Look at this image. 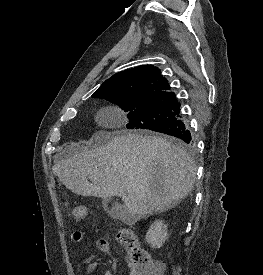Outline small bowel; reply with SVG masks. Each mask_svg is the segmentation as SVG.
I'll use <instances>...</instances> for the list:
<instances>
[{"label":"small bowel","mask_w":263,"mask_h":275,"mask_svg":"<svg viewBox=\"0 0 263 275\" xmlns=\"http://www.w3.org/2000/svg\"><path fill=\"white\" fill-rule=\"evenodd\" d=\"M83 238H84L83 232L77 230V231H75L71 234L70 242L71 243H79L83 240ZM96 247L101 252H104V253H109L110 252V244L104 238H98L96 240ZM96 266H97L96 261L94 260L93 257H90L88 259L87 265L85 267V274L86 275H92L95 268H96ZM129 267H130L129 275H142L141 271H139L130 262H129ZM103 275H112V273L110 271L106 270V271H104Z\"/></svg>","instance_id":"obj_1"}]
</instances>
